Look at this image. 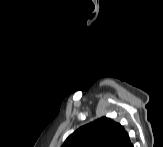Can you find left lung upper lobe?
I'll return each mask as SVG.
<instances>
[{"mask_svg":"<svg viewBox=\"0 0 163 147\" xmlns=\"http://www.w3.org/2000/svg\"><path fill=\"white\" fill-rule=\"evenodd\" d=\"M124 132L119 123L101 117L73 132L62 147H116Z\"/></svg>","mask_w":163,"mask_h":147,"instance_id":"obj_1","label":"left lung upper lobe"}]
</instances>
